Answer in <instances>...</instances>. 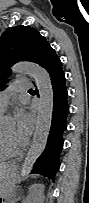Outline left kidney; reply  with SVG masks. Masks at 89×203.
Segmentation results:
<instances>
[{"mask_svg":"<svg viewBox=\"0 0 89 203\" xmlns=\"http://www.w3.org/2000/svg\"><path fill=\"white\" fill-rule=\"evenodd\" d=\"M34 187L38 188V191L35 193L36 198L32 203H44V185L35 184ZM26 203V202H23Z\"/></svg>","mask_w":89,"mask_h":203,"instance_id":"1","label":"left kidney"}]
</instances>
